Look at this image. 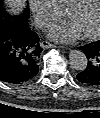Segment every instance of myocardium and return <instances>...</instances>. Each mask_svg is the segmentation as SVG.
<instances>
[{
    "instance_id": "obj_1",
    "label": "myocardium",
    "mask_w": 100,
    "mask_h": 118,
    "mask_svg": "<svg viewBox=\"0 0 100 118\" xmlns=\"http://www.w3.org/2000/svg\"><path fill=\"white\" fill-rule=\"evenodd\" d=\"M83 1L84 0H72L70 3L67 4L65 10L79 6ZM99 33H100V10H99V16L95 28L89 32L83 33V36L85 38H92L97 36Z\"/></svg>"
}]
</instances>
